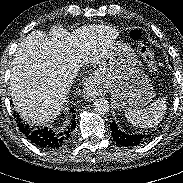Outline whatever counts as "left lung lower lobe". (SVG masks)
Listing matches in <instances>:
<instances>
[{"label": "left lung lower lobe", "mask_w": 183, "mask_h": 183, "mask_svg": "<svg viewBox=\"0 0 183 183\" xmlns=\"http://www.w3.org/2000/svg\"><path fill=\"white\" fill-rule=\"evenodd\" d=\"M155 132L156 130L152 131L151 133H147L145 135H142V134L129 135L121 131L114 122L111 123V134L114 140L118 144L125 147L137 146L138 144L142 143L146 139L150 138Z\"/></svg>", "instance_id": "obj_1"}]
</instances>
